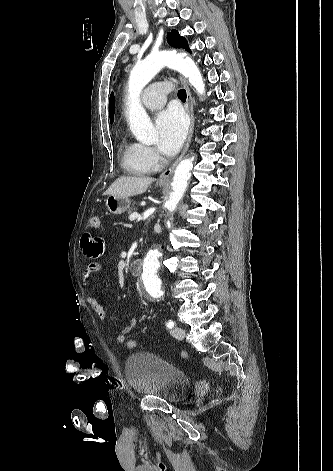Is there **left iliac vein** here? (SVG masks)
<instances>
[{
    "label": "left iliac vein",
    "instance_id": "1",
    "mask_svg": "<svg viewBox=\"0 0 333 471\" xmlns=\"http://www.w3.org/2000/svg\"><path fill=\"white\" fill-rule=\"evenodd\" d=\"M171 335L176 339H183L185 337V330L181 327H175L171 330Z\"/></svg>",
    "mask_w": 333,
    "mask_h": 471
}]
</instances>
